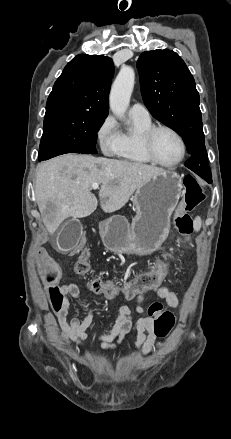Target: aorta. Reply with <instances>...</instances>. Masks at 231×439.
<instances>
[{"instance_id":"762f6f07","label":"aorta","mask_w":231,"mask_h":439,"mask_svg":"<svg viewBox=\"0 0 231 439\" xmlns=\"http://www.w3.org/2000/svg\"><path fill=\"white\" fill-rule=\"evenodd\" d=\"M135 82L133 68L123 66L120 69L110 91V109L118 118H122L130 103V97Z\"/></svg>"}]
</instances>
